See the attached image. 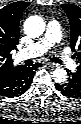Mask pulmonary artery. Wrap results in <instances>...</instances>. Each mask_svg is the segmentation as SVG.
Wrapping results in <instances>:
<instances>
[{
  "instance_id": "1",
  "label": "pulmonary artery",
  "mask_w": 81,
  "mask_h": 124,
  "mask_svg": "<svg viewBox=\"0 0 81 124\" xmlns=\"http://www.w3.org/2000/svg\"><path fill=\"white\" fill-rule=\"evenodd\" d=\"M62 36L61 26L57 20H51L47 24L46 32L42 38L32 44L26 50H23L18 53L17 58L19 60L34 58L43 53H45L52 46H57L60 44ZM58 58L62 61V63L71 68L75 69L76 64L71 59L70 54L65 50L60 49L57 52Z\"/></svg>"
}]
</instances>
